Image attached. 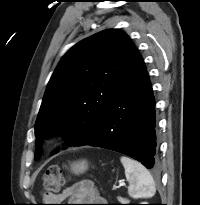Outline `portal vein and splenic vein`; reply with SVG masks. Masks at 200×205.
Instances as JSON below:
<instances>
[{
    "mask_svg": "<svg viewBox=\"0 0 200 205\" xmlns=\"http://www.w3.org/2000/svg\"><path fill=\"white\" fill-rule=\"evenodd\" d=\"M121 186H125V183L124 182H119L118 187H121Z\"/></svg>",
    "mask_w": 200,
    "mask_h": 205,
    "instance_id": "obj_1",
    "label": "portal vein and splenic vein"
}]
</instances>
